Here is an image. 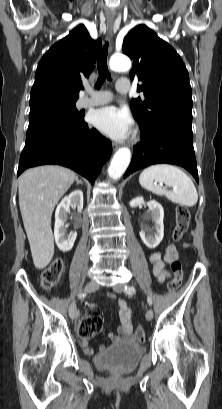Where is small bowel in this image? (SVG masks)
I'll return each instance as SVG.
<instances>
[{
	"instance_id": "c3829d8e",
	"label": "small bowel",
	"mask_w": 222,
	"mask_h": 409,
	"mask_svg": "<svg viewBox=\"0 0 222 409\" xmlns=\"http://www.w3.org/2000/svg\"><path fill=\"white\" fill-rule=\"evenodd\" d=\"M184 247L187 248L189 245L187 243L184 244ZM178 257L176 247L173 244H168L164 250V252H154L150 255L149 260L152 264L153 274L157 278L160 283L165 282L167 279L171 278V274L166 269V264L170 263L172 260H176ZM108 299L112 302H115L118 307L120 325L118 326L115 333H109L108 338L112 343L119 344L123 342H133L134 335H133V312L131 308L128 306L126 301L123 299L117 298L116 295L110 294ZM87 315L85 316V318ZM98 319L101 320V317L98 315ZM102 321V320H101ZM81 345L86 354L92 355L94 354V349L89 346L88 340L81 339ZM108 348V345H101L100 350L104 351Z\"/></svg>"
}]
</instances>
